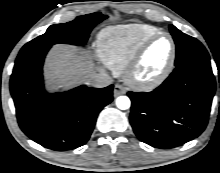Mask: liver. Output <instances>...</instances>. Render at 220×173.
<instances>
[{
    "label": "liver",
    "mask_w": 220,
    "mask_h": 173,
    "mask_svg": "<svg viewBox=\"0 0 220 173\" xmlns=\"http://www.w3.org/2000/svg\"><path fill=\"white\" fill-rule=\"evenodd\" d=\"M44 75L51 89H69L88 84L93 63L76 47L57 44L46 57Z\"/></svg>",
    "instance_id": "liver-1"
}]
</instances>
